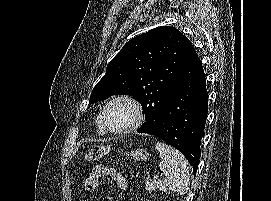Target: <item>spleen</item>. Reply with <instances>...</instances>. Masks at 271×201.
Returning <instances> with one entry per match:
<instances>
[{"label": "spleen", "instance_id": "spleen-1", "mask_svg": "<svg viewBox=\"0 0 271 201\" xmlns=\"http://www.w3.org/2000/svg\"><path fill=\"white\" fill-rule=\"evenodd\" d=\"M156 149L161 159L159 168L165 175L162 183L175 194L183 196L190 184L188 161L181 152L163 142H157Z\"/></svg>", "mask_w": 271, "mask_h": 201}]
</instances>
